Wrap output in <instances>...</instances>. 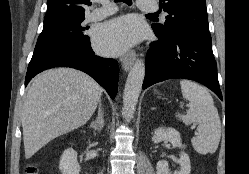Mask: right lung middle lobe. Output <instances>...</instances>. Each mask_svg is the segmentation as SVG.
I'll return each mask as SVG.
<instances>
[{"label": "right lung middle lobe", "mask_w": 249, "mask_h": 174, "mask_svg": "<svg viewBox=\"0 0 249 174\" xmlns=\"http://www.w3.org/2000/svg\"><path fill=\"white\" fill-rule=\"evenodd\" d=\"M84 19L85 17L70 19L44 26L35 50L55 45L90 42L89 37L83 33L87 29L83 26Z\"/></svg>", "instance_id": "dd1d6c3e"}]
</instances>
